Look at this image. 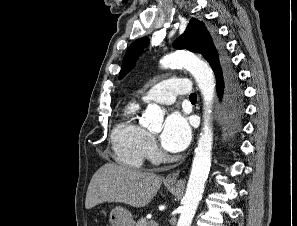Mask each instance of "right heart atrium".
<instances>
[{"mask_svg": "<svg viewBox=\"0 0 297 226\" xmlns=\"http://www.w3.org/2000/svg\"><path fill=\"white\" fill-rule=\"evenodd\" d=\"M158 156V149L155 142V139L152 136H149L147 145H146V157L149 159H156Z\"/></svg>", "mask_w": 297, "mask_h": 226, "instance_id": "right-heart-atrium-1", "label": "right heart atrium"}]
</instances>
